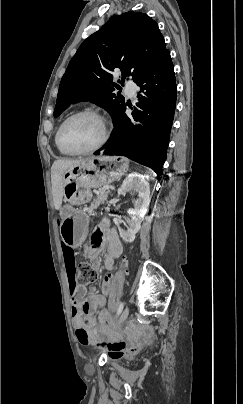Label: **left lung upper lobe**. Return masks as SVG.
I'll return each mask as SVG.
<instances>
[{
	"label": "left lung upper lobe",
	"instance_id": "left-lung-upper-lobe-1",
	"mask_svg": "<svg viewBox=\"0 0 243 404\" xmlns=\"http://www.w3.org/2000/svg\"><path fill=\"white\" fill-rule=\"evenodd\" d=\"M168 50L157 23L145 13L133 11L112 16L99 31L89 36L71 59L60 82L54 116L71 104L92 101L105 108L114 123L125 109L121 87L113 82L115 68L136 82Z\"/></svg>",
	"mask_w": 243,
	"mask_h": 404
}]
</instances>
